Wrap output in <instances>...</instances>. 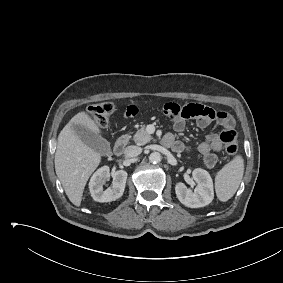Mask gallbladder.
Returning <instances> with one entry per match:
<instances>
[{
  "mask_svg": "<svg viewBox=\"0 0 283 283\" xmlns=\"http://www.w3.org/2000/svg\"><path fill=\"white\" fill-rule=\"evenodd\" d=\"M72 128L84 144L101 155L111 154L110 143L106 139L81 125L74 124Z\"/></svg>",
  "mask_w": 283,
  "mask_h": 283,
  "instance_id": "bac80fb5",
  "label": "gallbladder"
}]
</instances>
